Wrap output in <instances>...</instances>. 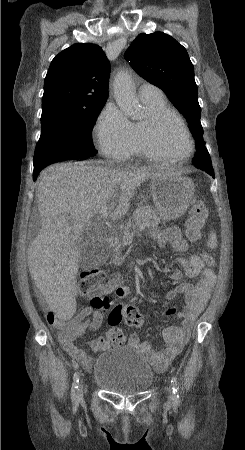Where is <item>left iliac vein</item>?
I'll use <instances>...</instances> for the list:
<instances>
[{
  "label": "left iliac vein",
  "mask_w": 245,
  "mask_h": 450,
  "mask_svg": "<svg viewBox=\"0 0 245 450\" xmlns=\"http://www.w3.org/2000/svg\"><path fill=\"white\" fill-rule=\"evenodd\" d=\"M167 391H168V395H169V400H171V399H172V395H173V394H172V387L169 386V387L167 388Z\"/></svg>",
  "instance_id": "1"
}]
</instances>
